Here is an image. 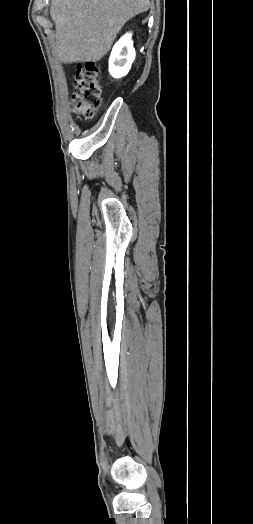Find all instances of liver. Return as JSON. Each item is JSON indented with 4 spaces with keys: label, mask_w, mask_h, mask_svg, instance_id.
<instances>
[{
    "label": "liver",
    "mask_w": 253,
    "mask_h": 524,
    "mask_svg": "<svg viewBox=\"0 0 253 524\" xmlns=\"http://www.w3.org/2000/svg\"><path fill=\"white\" fill-rule=\"evenodd\" d=\"M149 7L150 0H52L56 55L63 63L99 61L123 25Z\"/></svg>",
    "instance_id": "obj_1"
}]
</instances>
